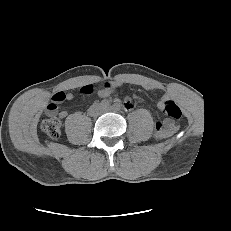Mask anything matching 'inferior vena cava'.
<instances>
[{"mask_svg":"<svg viewBox=\"0 0 231 231\" xmlns=\"http://www.w3.org/2000/svg\"><path fill=\"white\" fill-rule=\"evenodd\" d=\"M95 110H96V109H94V108H90V113H91V114H92V113L94 114V113H95ZM96 114H98V113H96Z\"/></svg>","mask_w":231,"mask_h":231,"instance_id":"obj_1","label":"inferior vena cava"}]
</instances>
